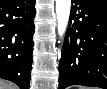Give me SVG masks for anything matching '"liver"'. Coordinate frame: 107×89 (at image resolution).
I'll return each instance as SVG.
<instances>
[{
	"label": "liver",
	"instance_id": "6515ba94",
	"mask_svg": "<svg viewBox=\"0 0 107 89\" xmlns=\"http://www.w3.org/2000/svg\"><path fill=\"white\" fill-rule=\"evenodd\" d=\"M0 89H17V87L13 85L12 83L1 81Z\"/></svg>",
	"mask_w": 107,
	"mask_h": 89
}]
</instances>
